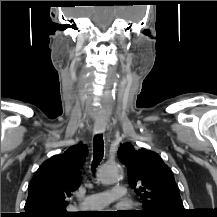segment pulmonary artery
<instances>
[{"mask_svg":"<svg viewBox=\"0 0 217 217\" xmlns=\"http://www.w3.org/2000/svg\"><path fill=\"white\" fill-rule=\"evenodd\" d=\"M126 189L124 186L116 185L109 192L89 194L84 198L82 207L88 210L102 209L113 201L124 199Z\"/></svg>","mask_w":217,"mask_h":217,"instance_id":"obj_1","label":"pulmonary artery"}]
</instances>
